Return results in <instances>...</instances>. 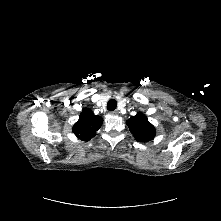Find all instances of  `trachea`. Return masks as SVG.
Masks as SVG:
<instances>
[{
  "mask_svg": "<svg viewBox=\"0 0 221 221\" xmlns=\"http://www.w3.org/2000/svg\"><path fill=\"white\" fill-rule=\"evenodd\" d=\"M117 107V101L115 99H110L107 103V110L113 111Z\"/></svg>",
  "mask_w": 221,
  "mask_h": 221,
  "instance_id": "trachea-1",
  "label": "trachea"
}]
</instances>
